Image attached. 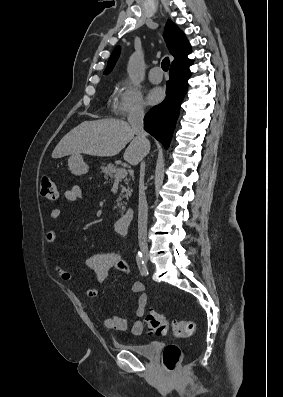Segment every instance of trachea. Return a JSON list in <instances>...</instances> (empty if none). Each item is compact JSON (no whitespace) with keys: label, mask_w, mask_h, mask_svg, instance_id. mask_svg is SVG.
<instances>
[{"label":"trachea","mask_w":283,"mask_h":397,"mask_svg":"<svg viewBox=\"0 0 283 397\" xmlns=\"http://www.w3.org/2000/svg\"><path fill=\"white\" fill-rule=\"evenodd\" d=\"M169 65H170L169 58H168V57L164 58L163 61H162V63H161V67H162V69H163L165 72L168 71Z\"/></svg>","instance_id":"3493384b"}]
</instances>
